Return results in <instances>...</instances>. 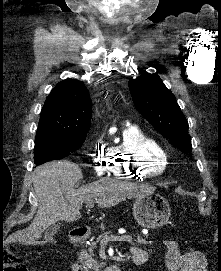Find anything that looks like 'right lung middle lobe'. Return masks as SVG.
<instances>
[{
	"mask_svg": "<svg viewBox=\"0 0 221 271\" xmlns=\"http://www.w3.org/2000/svg\"><path fill=\"white\" fill-rule=\"evenodd\" d=\"M85 139L86 134H36L34 163L38 166L48 161L62 159L81 147Z\"/></svg>",
	"mask_w": 221,
	"mask_h": 271,
	"instance_id": "1",
	"label": "right lung middle lobe"
}]
</instances>
